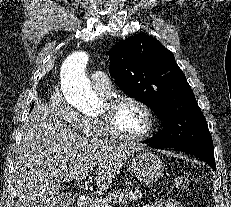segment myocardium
<instances>
[{
	"mask_svg": "<svg viewBox=\"0 0 231 207\" xmlns=\"http://www.w3.org/2000/svg\"><path fill=\"white\" fill-rule=\"evenodd\" d=\"M124 102H131L138 105L145 112L147 117V127L141 134L129 136L124 134L116 125L114 114L119 105ZM105 109L100 114L99 120L107 136L127 143L139 142L149 138L156 127V117L151 107L143 100L132 95H114L107 98L104 102Z\"/></svg>",
	"mask_w": 231,
	"mask_h": 207,
	"instance_id": "1",
	"label": "myocardium"
}]
</instances>
